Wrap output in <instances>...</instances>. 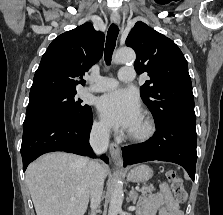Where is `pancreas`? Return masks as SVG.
<instances>
[{"label": "pancreas", "instance_id": "obj_1", "mask_svg": "<svg viewBox=\"0 0 223 215\" xmlns=\"http://www.w3.org/2000/svg\"><path fill=\"white\" fill-rule=\"evenodd\" d=\"M155 187L153 185H142L141 189L139 191H153Z\"/></svg>", "mask_w": 223, "mask_h": 215}]
</instances>
